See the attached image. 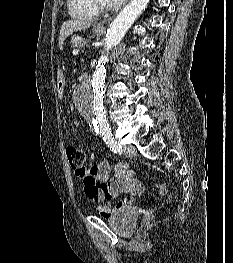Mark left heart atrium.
<instances>
[{
	"label": "left heart atrium",
	"mask_w": 233,
	"mask_h": 263,
	"mask_svg": "<svg viewBox=\"0 0 233 263\" xmlns=\"http://www.w3.org/2000/svg\"><path fill=\"white\" fill-rule=\"evenodd\" d=\"M111 1L114 2V3H122L125 0H111Z\"/></svg>",
	"instance_id": "1"
}]
</instances>
